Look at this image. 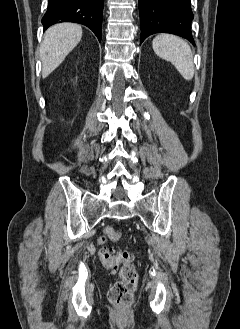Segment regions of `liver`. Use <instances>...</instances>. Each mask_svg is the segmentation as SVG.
I'll use <instances>...</instances> for the list:
<instances>
[{"mask_svg": "<svg viewBox=\"0 0 240 329\" xmlns=\"http://www.w3.org/2000/svg\"><path fill=\"white\" fill-rule=\"evenodd\" d=\"M82 38V28L73 23H60L50 27L40 46L42 77L49 76L77 46Z\"/></svg>", "mask_w": 240, "mask_h": 329, "instance_id": "obj_1", "label": "liver"}]
</instances>
